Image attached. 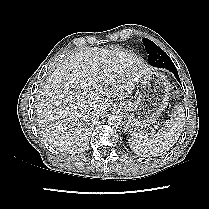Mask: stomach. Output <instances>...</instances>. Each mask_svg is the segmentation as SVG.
<instances>
[{"label":"stomach","instance_id":"1","mask_svg":"<svg viewBox=\"0 0 209 209\" xmlns=\"http://www.w3.org/2000/svg\"><path fill=\"white\" fill-rule=\"evenodd\" d=\"M170 86L162 73L149 72L144 75L136 100L124 104L128 118L126 129L141 130L153 124L168 105Z\"/></svg>","mask_w":209,"mask_h":209}]
</instances>
